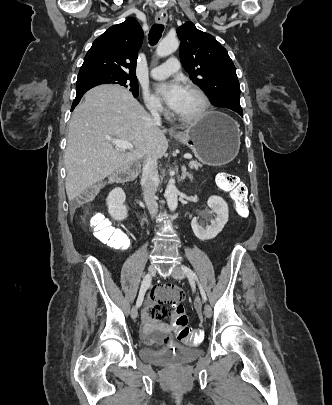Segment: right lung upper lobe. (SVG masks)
<instances>
[{"mask_svg":"<svg viewBox=\"0 0 332 405\" xmlns=\"http://www.w3.org/2000/svg\"><path fill=\"white\" fill-rule=\"evenodd\" d=\"M142 40L143 30L132 17L111 26L93 42L79 73L109 71L135 76Z\"/></svg>","mask_w":332,"mask_h":405,"instance_id":"right-lung-upper-lobe-1","label":"right lung upper lobe"}]
</instances>
